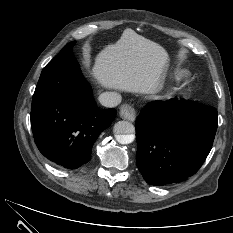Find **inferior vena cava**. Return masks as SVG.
Instances as JSON below:
<instances>
[{"label": "inferior vena cava", "mask_w": 233, "mask_h": 233, "mask_svg": "<svg viewBox=\"0 0 233 233\" xmlns=\"http://www.w3.org/2000/svg\"><path fill=\"white\" fill-rule=\"evenodd\" d=\"M99 102L105 107H115L121 102V95L117 92H104L100 94Z\"/></svg>", "instance_id": "1"}]
</instances>
